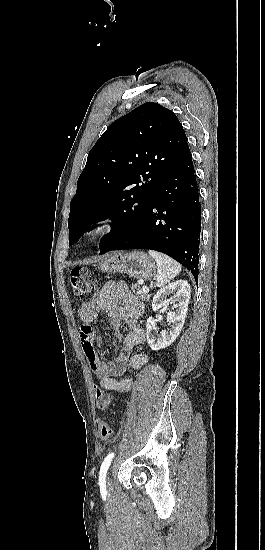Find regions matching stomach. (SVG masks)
<instances>
[{
  "mask_svg": "<svg viewBox=\"0 0 265 550\" xmlns=\"http://www.w3.org/2000/svg\"><path fill=\"white\" fill-rule=\"evenodd\" d=\"M98 268L104 273H126L130 277L149 280L155 265L151 257L141 251L112 252L103 256Z\"/></svg>",
  "mask_w": 265,
  "mask_h": 550,
  "instance_id": "obj_1",
  "label": "stomach"
}]
</instances>
